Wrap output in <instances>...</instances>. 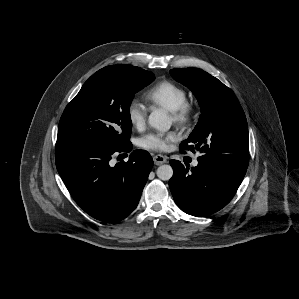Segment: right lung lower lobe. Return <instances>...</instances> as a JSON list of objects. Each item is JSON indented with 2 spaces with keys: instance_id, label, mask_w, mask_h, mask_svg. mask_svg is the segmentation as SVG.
<instances>
[{
  "instance_id": "right-lung-lower-lobe-1",
  "label": "right lung lower lobe",
  "mask_w": 299,
  "mask_h": 299,
  "mask_svg": "<svg viewBox=\"0 0 299 299\" xmlns=\"http://www.w3.org/2000/svg\"><path fill=\"white\" fill-rule=\"evenodd\" d=\"M129 142L116 150L56 144L57 170L76 203L90 216L115 223L138 205L153 166L151 155L135 150L128 162L112 166L113 156L130 152Z\"/></svg>"
}]
</instances>
